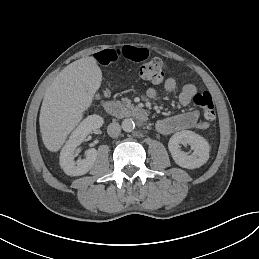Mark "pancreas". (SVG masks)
<instances>
[{"instance_id":"obj_1","label":"pancreas","mask_w":259,"mask_h":259,"mask_svg":"<svg viewBox=\"0 0 259 259\" xmlns=\"http://www.w3.org/2000/svg\"><path fill=\"white\" fill-rule=\"evenodd\" d=\"M122 102L125 104V106L129 109V110H133L134 106L132 104V101L129 100L127 97H123L122 98Z\"/></svg>"}]
</instances>
